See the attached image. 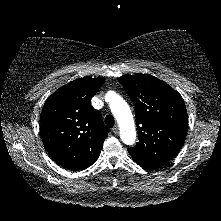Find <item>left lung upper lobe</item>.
Segmentation results:
<instances>
[{"label":"left lung upper lobe","mask_w":221,"mask_h":221,"mask_svg":"<svg viewBox=\"0 0 221 221\" xmlns=\"http://www.w3.org/2000/svg\"><path fill=\"white\" fill-rule=\"evenodd\" d=\"M135 105L138 143L128 152L135 162L165 165L182 148L188 116L181 95L149 74L119 78Z\"/></svg>","instance_id":"left-lung-upper-lobe-1"}]
</instances>
